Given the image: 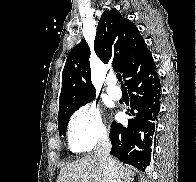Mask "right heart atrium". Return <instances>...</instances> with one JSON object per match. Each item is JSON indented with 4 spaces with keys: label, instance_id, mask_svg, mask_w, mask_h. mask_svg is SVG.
<instances>
[{
    "label": "right heart atrium",
    "instance_id": "1",
    "mask_svg": "<svg viewBox=\"0 0 196 182\" xmlns=\"http://www.w3.org/2000/svg\"><path fill=\"white\" fill-rule=\"evenodd\" d=\"M107 138V129L96 105L86 104L71 116L68 140L75 152L89 151Z\"/></svg>",
    "mask_w": 196,
    "mask_h": 182
}]
</instances>
